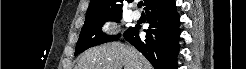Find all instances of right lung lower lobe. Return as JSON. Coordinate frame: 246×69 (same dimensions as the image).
I'll use <instances>...</instances> for the list:
<instances>
[{
  "instance_id": "98d812e1",
  "label": "right lung lower lobe",
  "mask_w": 246,
  "mask_h": 69,
  "mask_svg": "<svg viewBox=\"0 0 246 69\" xmlns=\"http://www.w3.org/2000/svg\"><path fill=\"white\" fill-rule=\"evenodd\" d=\"M149 28L139 37L140 26L130 27L124 38L136 47L155 69H176L179 51V15L174 0H159L146 9Z\"/></svg>"
}]
</instances>
